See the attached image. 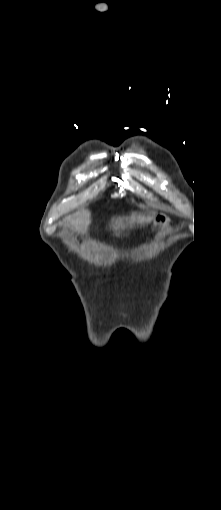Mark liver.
I'll list each match as a JSON object with an SVG mask.
<instances>
[{"label":"liver","mask_w":221,"mask_h":510,"mask_svg":"<svg viewBox=\"0 0 221 510\" xmlns=\"http://www.w3.org/2000/svg\"><path fill=\"white\" fill-rule=\"evenodd\" d=\"M153 217L154 214L146 216L142 214L132 213L130 217L119 218L115 220L113 229L115 231H118L119 229H125L126 226L133 227L135 223L140 225L148 224L152 221ZM124 220L126 221V223H124Z\"/></svg>","instance_id":"1"}]
</instances>
